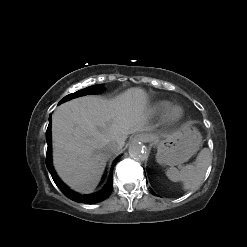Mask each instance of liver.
Segmentation results:
<instances>
[{
  "label": "liver",
  "instance_id": "1",
  "mask_svg": "<svg viewBox=\"0 0 247 247\" xmlns=\"http://www.w3.org/2000/svg\"><path fill=\"white\" fill-rule=\"evenodd\" d=\"M148 96L132 87L114 99L83 96L60 105L52 116L53 164L72 189L90 193L98 185L110 142L121 148L129 134L149 130Z\"/></svg>",
  "mask_w": 247,
  "mask_h": 247
}]
</instances>
